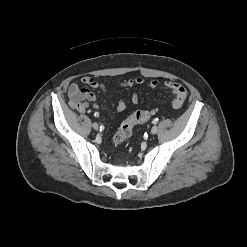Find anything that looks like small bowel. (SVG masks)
Instances as JSON below:
<instances>
[{"instance_id":"small-bowel-1","label":"small bowel","mask_w":247,"mask_h":247,"mask_svg":"<svg viewBox=\"0 0 247 247\" xmlns=\"http://www.w3.org/2000/svg\"><path fill=\"white\" fill-rule=\"evenodd\" d=\"M82 83L92 89H100L103 93H106V86L99 82L97 79L89 76H85L81 79ZM123 87H134L137 85L146 84L150 88H157L162 86L164 89L170 91L173 94L172 107L175 109L180 108L186 97L187 91L185 87L177 82L164 81L160 83L157 79H151L145 81L142 77H137L135 79L124 80L119 83ZM68 99L70 106L77 110L79 113H85L89 107L94 109H101L97 104L96 95L88 88L81 87L77 83H73L68 89ZM131 101L133 104H138L139 97L136 92L132 94ZM126 108V103L123 99L118 101L115 108L116 112H122Z\"/></svg>"}]
</instances>
